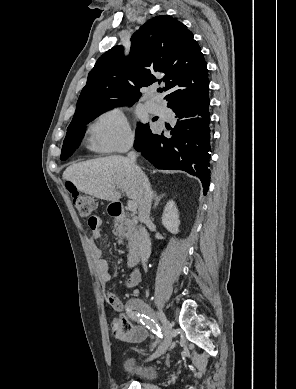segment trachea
<instances>
[{"mask_svg":"<svg viewBox=\"0 0 296 389\" xmlns=\"http://www.w3.org/2000/svg\"><path fill=\"white\" fill-rule=\"evenodd\" d=\"M157 91H158V92H162V88H158Z\"/></svg>","mask_w":296,"mask_h":389,"instance_id":"1","label":"trachea"}]
</instances>
